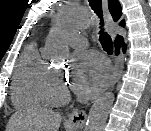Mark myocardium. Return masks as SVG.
Returning a JSON list of instances; mask_svg holds the SVG:
<instances>
[{"label":"myocardium","instance_id":"obj_1","mask_svg":"<svg viewBox=\"0 0 151 131\" xmlns=\"http://www.w3.org/2000/svg\"><path fill=\"white\" fill-rule=\"evenodd\" d=\"M59 73L55 70H49L45 75L41 91L45 102L49 104H61L69 100L70 94L62 83H56Z\"/></svg>","mask_w":151,"mask_h":131}]
</instances>
